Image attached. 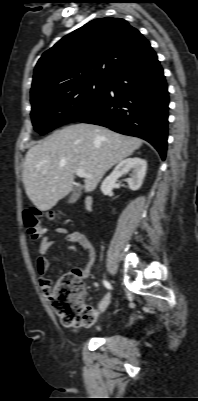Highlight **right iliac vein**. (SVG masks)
Wrapping results in <instances>:
<instances>
[{"label":"right iliac vein","instance_id":"1","mask_svg":"<svg viewBox=\"0 0 198 401\" xmlns=\"http://www.w3.org/2000/svg\"><path fill=\"white\" fill-rule=\"evenodd\" d=\"M105 297H106L107 303H106L105 307L101 311H104L107 308V306H108V304L110 302V294L108 293Z\"/></svg>","mask_w":198,"mask_h":401}]
</instances>
